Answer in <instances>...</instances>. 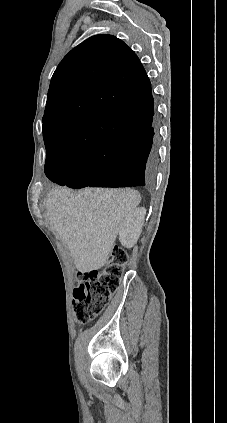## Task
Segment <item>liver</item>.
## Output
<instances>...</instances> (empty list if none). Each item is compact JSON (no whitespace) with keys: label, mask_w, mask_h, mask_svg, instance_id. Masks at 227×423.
I'll list each match as a JSON object with an SVG mask.
<instances>
[{"label":"liver","mask_w":227,"mask_h":423,"mask_svg":"<svg viewBox=\"0 0 227 423\" xmlns=\"http://www.w3.org/2000/svg\"><path fill=\"white\" fill-rule=\"evenodd\" d=\"M140 202L137 190L57 188L49 194L45 217L67 243L75 267L91 271L105 265L123 221Z\"/></svg>","instance_id":"liver-1"}]
</instances>
